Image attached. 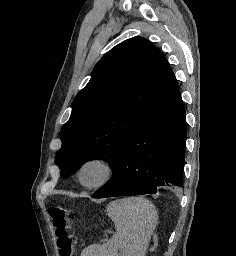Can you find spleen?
Masks as SVG:
<instances>
[{
  "label": "spleen",
  "instance_id": "3e777b00",
  "mask_svg": "<svg viewBox=\"0 0 236 256\" xmlns=\"http://www.w3.org/2000/svg\"><path fill=\"white\" fill-rule=\"evenodd\" d=\"M107 216L115 224L116 232L106 244L88 246L82 256H146L157 222L155 206L146 198H122L110 202Z\"/></svg>",
  "mask_w": 236,
  "mask_h": 256
}]
</instances>
